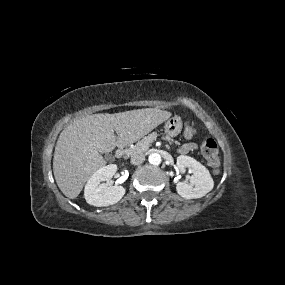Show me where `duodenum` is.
<instances>
[{
	"instance_id": "duodenum-1",
	"label": "duodenum",
	"mask_w": 285,
	"mask_h": 285,
	"mask_svg": "<svg viewBox=\"0 0 285 285\" xmlns=\"http://www.w3.org/2000/svg\"><path fill=\"white\" fill-rule=\"evenodd\" d=\"M124 153V149L122 147L118 148L117 155L121 156Z\"/></svg>"
}]
</instances>
